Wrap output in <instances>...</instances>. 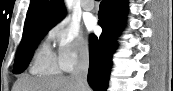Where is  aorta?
I'll list each match as a JSON object with an SVG mask.
<instances>
[{
    "mask_svg": "<svg viewBox=\"0 0 173 91\" xmlns=\"http://www.w3.org/2000/svg\"><path fill=\"white\" fill-rule=\"evenodd\" d=\"M66 4H67L68 6H71L72 0H67V1H66Z\"/></svg>",
    "mask_w": 173,
    "mask_h": 91,
    "instance_id": "1",
    "label": "aorta"
}]
</instances>
